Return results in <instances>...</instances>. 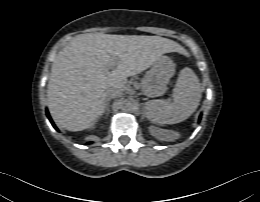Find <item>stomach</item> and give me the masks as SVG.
I'll return each mask as SVG.
<instances>
[{
  "label": "stomach",
  "mask_w": 260,
  "mask_h": 202,
  "mask_svg": "<svg viewBox=\"0 0 260 202\" xmlns=\"http://www.w3.org/2000/svg\"><path fill=\"white\" fill-rule=\"evenodd\" d=\"M173 73L172 60L166 56L160 57L142 79V92L151 98L161 96L166 91L167 83Z\"/></svg>",
  "instance_id": "0dacf381"
}]
</instances>
